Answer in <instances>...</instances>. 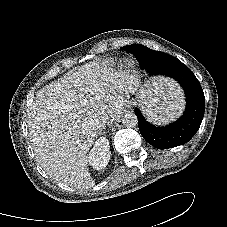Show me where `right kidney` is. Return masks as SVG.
Instances as JSON below:
<instances>
[{"instance_id": "obj_1", "label": "right kidney", "mask_w": 227, "mask_h": 227, "mask_svg": "<svg viewBox=\"0 0 227 227\" xmlns=\"http://www.w3.org/2000/svg\"><path fill=\"white\" fill-rule=\"evenodd\" d=\"M110 146L106 137L96 140L94 147L88 153V164L96 170L104 169L110 160Z\"/></svg>"}]
</instances>
